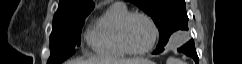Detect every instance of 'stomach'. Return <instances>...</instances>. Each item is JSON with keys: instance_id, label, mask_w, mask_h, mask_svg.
Masks as SVG:
<instances>
[{"instance_id": "stomach-1", "label": "stomach", "mask_w": 242, "mask_h": 64, "mask_svg": "<svg viewBox=\"0 0 242 64\" xmlns=\"http://www.w3.org/2000/svg\"><path fill=\"white\" fill-rule=\"evenodd\" d=\"M142 64H154V63L151 62V61H148V62H146V63H142Z\"/></svg>"}]
</instances>
